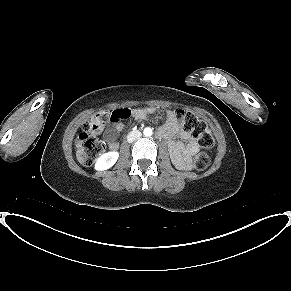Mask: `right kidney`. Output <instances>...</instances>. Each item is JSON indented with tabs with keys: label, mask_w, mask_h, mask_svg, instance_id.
<instances>
[{
	"label": "right kidney",
	"mask_w": 291,
	"mask_h": 291,
	"mask_svg": "<svg viewBox=\"0 0 291 291\" xmlns=\"http://www.w3.org/2000/svg\"><path fill=\"white\" fill-rule=\"evenodd\" d=\"M118 157L119 153L115 151L102 154L95 163V169L98 171L109 169L116 163Z\"/></svg>",
	"instance_id": "1"
}]
</instances>
